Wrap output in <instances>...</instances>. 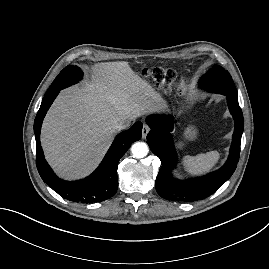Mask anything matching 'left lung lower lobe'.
I'll return each instance as SVG.
<instances>
[{"label": "left lung lower lobe", "instance_id": "obj_1", "mask_svg": "<svg viewBox=\"0 0 269 269\" xmlns=\"http://www.w3.org/2000/svg\"><path fill=\"white\" fill-rule=\"evenodd\" d=\"M227 102L235 121L228 160L219 170L188 181L176 180L171 174L177 159L170 134L173 120L163 116L147 117L146 122L151 128L147 135V143L151 151L161 160V167L155 182L156 190L161 197L174 201L202 200L216 192L234 173L240 155L244 120L238 98L227 95Z\"/></svg>", "mask_w": 269, "mask_h": 269}]
</instances>
